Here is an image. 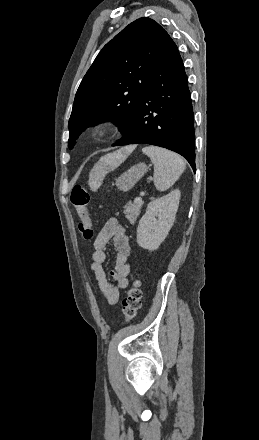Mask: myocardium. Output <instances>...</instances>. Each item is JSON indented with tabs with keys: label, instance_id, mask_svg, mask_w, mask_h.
<instances>
[{
	"label": "myocardium",
	"instance_id": "myocardium-1",
	"mask_svg": "<svg viewBox=\"0 0 259 440\" xmlns=\"http://www.w3.org/2000/svg\"><path fill=\"white\" fill-rule=\"evenodd\" d=\"M116 126L109 118H101L95 121L88 129V136L93 141H100L110 136Z\"/></svg>",
	"mask_w": 259,
	"mask_h": 440
}]
</instances>
